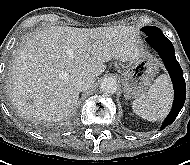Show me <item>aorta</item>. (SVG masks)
Here are the masks:
<instances>
[{
	"mask_svg": "<svg viewBox=\"0 0 190 165\" xmlns=\"http://www.w3.org/2000/svg\"><path fill=\"white\" fill-rule=\"evenodd\" d=\"M117 88V80L112 77L103 79L100 85L101 91L108 94H114L117 91Z\"/></svg>",
	"mask_w": 190,
	"mask_h": 165,
	"instance_id": "aorta-1",
	"label": "aorta"
}]
</instances>
